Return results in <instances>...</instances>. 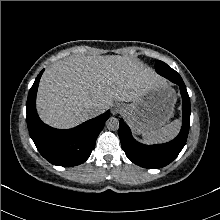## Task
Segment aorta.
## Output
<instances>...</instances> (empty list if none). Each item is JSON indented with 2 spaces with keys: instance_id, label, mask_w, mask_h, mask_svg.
<instances>
[{
  "instance_id": "obj_1",
  "label": "aorta",
  "mask_w": 220,
  "mask_h": 220,
  "mask_svg": "<svg viewBox=\"0 0 220 220\" xmlns=\"http://www.w3.org/2000/svg\"><path fill=\"white\" fill-rule=\"evenodd\" d=\"M106 126L109 130L115 131L119 129V120L115 117H110L106 121Z\"/></svg>"
}]
</instances>
